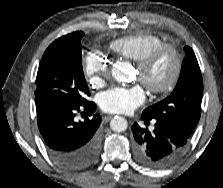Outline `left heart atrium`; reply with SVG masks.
I'll use <instances>...</instances> for the list:
<instances>
[{
  "instance_id": "left-heart-atrium-1",
  "label": "left heart atrium",
  "mask_w": 223,
  "mask_h": 188,
  "mask_svg": "<svg viewBox=\"0 0 223 188\" xmlns=\"http://www.w3.org/2000/svg\"><path fill=\"white\" fill-rule=\"evenodd\" d=\"M146 94L140 84L131 87H112L99 94L98 103L100 108L107 113L122 114L130 113L143 104Z\"/></svg>"
}]
</instances>
